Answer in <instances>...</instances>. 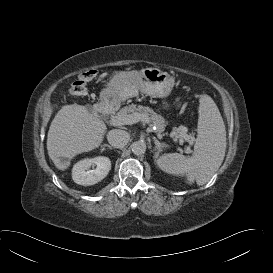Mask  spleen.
<instances>
[{"instance_id":"spleen-1","label":"spleen","mask_w":273,"mask_h":273,"mask_svg":"<svg viewBox=\"0 0 273 273\" xmlns=\"http://www.w3.org/2000/svg\"><path fill=\"white\" fill-rule=\"evenodd\" d=\"M198 132L191 157L179 153L162 155L157 165L168 174L186 176L189 184H206L221 166L226 150V130L213 99L204 94L199 99Z\"/></svg>"}]
</instances>
